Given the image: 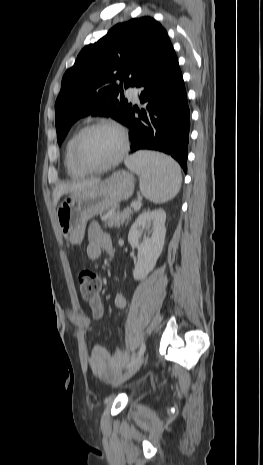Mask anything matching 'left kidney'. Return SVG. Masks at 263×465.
Segmentation results:
<instances>
[{
    "instance_id": "1",
    "label": "left kidney",
    "mask_w": 263,
    "mask_h": 465,
    "mask_svg": "<svg viewBox=\"0 0 263 465\" xmlns=\"http://www.w3.org/2000/svg\"><path fill=\"white\" fill-rule=\"evenodd\" d=\"M165 221V211L156 209L140 214L131 226L128 241L138 250L134 279H144L155 267L165 242ZM144 230H150L151 236L141 238Z\"/></svg>"
}]
</instances>
